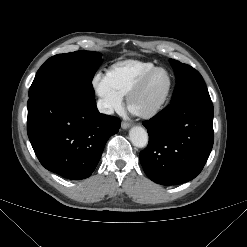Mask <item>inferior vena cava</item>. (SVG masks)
Wrapping results in <instances>:
<instances>
[{"label":"inferior vena cava","instance_id":"1","mask_svg":"<svg viewBox=\"0 0 247 247\" xmlns=\"http://www.w3.org/2000/svg\"><path fill=\"white\" fill-rule=\"evenodd\" d=\"M97 108L99 112L104 114L112 115L114 113V109L112 108V106L103 99L98 100Z\"/></svg>","mask_w":247,"mask_h":247}]
</instances>
